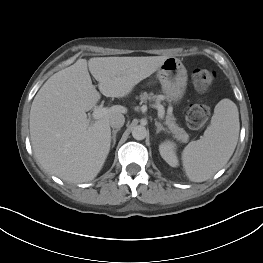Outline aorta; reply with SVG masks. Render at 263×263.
<instances>
[{
    "mask_svg": "<svg viewBox=\"0 0 263 263\" xmlns=\"http://www.w3.org/2000/svg\"><path fill=\"white\" fill-rule=\"evenodd\" d=\"M132 136L135 140H143L147 136V130L144 126H136L132 130Z\"/></svg>",
    "mask_w": 263,
    "mask_h": 263,
    "instance_id": "obj_1",
    "label": "aorta"
}]
</instances>
